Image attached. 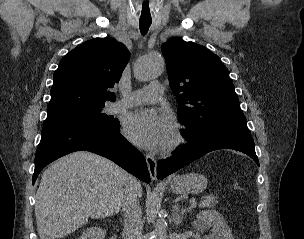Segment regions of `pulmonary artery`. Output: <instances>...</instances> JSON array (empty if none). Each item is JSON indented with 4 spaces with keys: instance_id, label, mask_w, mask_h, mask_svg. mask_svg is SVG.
Segmentation results:
<instances>
[{
    "instance_id": "obj_1",
    "label": "pulmonary artery",
    "mask_w": 304,
    "mask_h": 239,
    "mask_svg": "<svg viewBox=\"0 0 304 239\" xmlns=\"http://www.w3.org/2000/svg\"><path fill=\"white\" fill-rule=\"evenodd\" d=\"M164 88L161 83H153L145 88L130 92L122 100L116 102L112 108L114 111L129 107L155 103L163 98Z\"/></svg>"
}]
</instances>
